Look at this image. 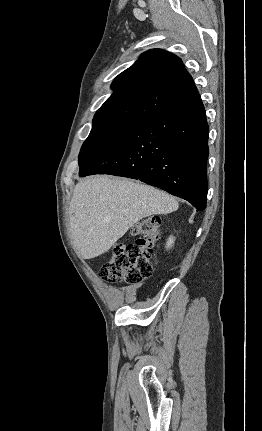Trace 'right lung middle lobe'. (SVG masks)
Here are the masks:
<instances>
[{
    "label": "right lung middle lobe",
    "mask_w": 262,
    "mask_h": 431,
    "mask_svg": "<svg viewBox=\"0 0 262 431\" xmlns=\"http://www.w3.org/2000/svg\"><path fill=\"white\" fill-rule=\"evenodd\" d=\"M134 125L135 124L131 123L93 125L92 130L88 138L83 143L79 154V172H84L94 164Z\"/></svg>",
    "instance_id": "1"
}]
</instances>
